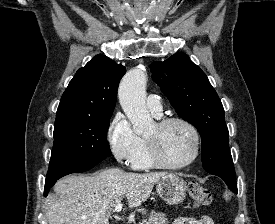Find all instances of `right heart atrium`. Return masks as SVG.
<instances>
[{
	"label": "right heart atrium",
	"instance_id": "right-heart-atrium-1",
	"mask_svg": "<svg viewBox=\"0 0 275 224\" xmlns=\"http://www.w3.org/2000/svg\"><path fill=\"white\" fill-rule=\"evenodd\" d=\"M107 140L114 157L123 163L130 162L141 145V138L121 112L114 116L108 128Z\"/></svg>",
	"mask_w": 275,
	"mask_h": 224
}]
</instances>
